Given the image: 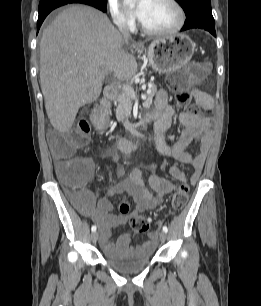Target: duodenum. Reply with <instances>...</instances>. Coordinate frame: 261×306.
Here are the masks:
<instances>
[{
	"mask_svg": "<svg viewBox=\"0 0 261 306\" xmlns=\"http://www.w3.org/2000/svg\"><path fill=\"white\" fill-rule=\"evenodd\" d=\"M116 97H117V89L115 87L109 86L105 89L104 98L107 102L114 101ZM148 121L149 118L144 116L137 121V124L139 127H143L148 123ZM116 142L118 148L125 153L130 152L131 150L135 149L138 146L137 140L131 141L123 137H118Z\"/></svg>",
	"mask_w": 261,
	"mask_h": 306,
	"instance_id": "1",
	"label": "duodenum"
}]
</instances>
